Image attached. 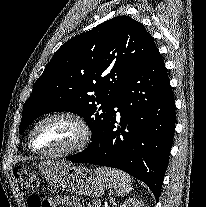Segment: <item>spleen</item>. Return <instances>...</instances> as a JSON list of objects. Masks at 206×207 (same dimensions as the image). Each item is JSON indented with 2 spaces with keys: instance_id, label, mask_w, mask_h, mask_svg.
<instances>
[{
  "instance_id": "obj_1",
  "label": "spleen",
  "mask_w": 206,
  "mask_h": 207,
  "mask_svg": "<svg viewBox=\"0 0 206 207\" xmlns=\"http://www.w3.org/2000/svg\"><path fill=\"white\" fill-rule=\"evenodd\" d=\"M94 172L101 177L109 186L112 192H116L118 196H126L132 189L131 177L120 170L112 168H96Z\"/></svg>"
}]
</instances>
